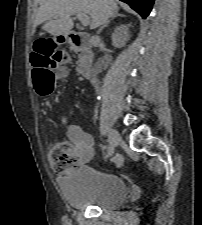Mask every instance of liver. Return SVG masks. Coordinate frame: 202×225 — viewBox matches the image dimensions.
I'll list each match as a JSON object with an SVG mask.
<instances>
[{
  "mask_svg": "<svg viewBox=\"0 0 202 225\" xmlns=\"http://www.w3.org/2000/svg\"><path fill=\"white\" fill-rule=\"evenodd\" d=\"M118 10L115 0H45L39 7L34 27L43 24L42 29L51 35H68L73 28V14L90 15V28L95 29Z\"/></svg>",
  "mask_w": 202,
  "mask_h": 225,
  "instance_id": "liver-1",
  "label": "liver"
}]
</instances>
